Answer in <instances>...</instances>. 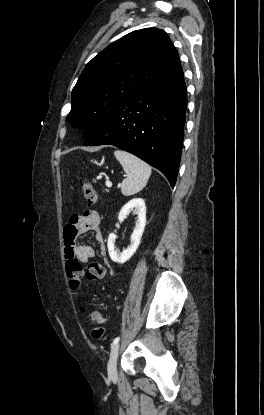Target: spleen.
Here are the masks:
<instances>
[{"instance_id": "obj_1", "label": "spleen", "mask_w": 264, "mask_h": 415, "mask_svg": "<svg viewBox=\"0 0 264 415\" xmlns=\"http://www.w3.org/2000/svg\"><path fill=\"white\" fill-rule=\"evenodd\" d=\"M114 155L127 173V177L121 184L122 194L131 196L140 192L148 182L151 175V167L126 151L116 150Z\"/></svg>"}]
</instances>
